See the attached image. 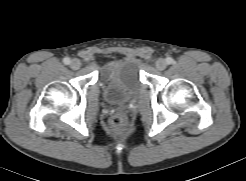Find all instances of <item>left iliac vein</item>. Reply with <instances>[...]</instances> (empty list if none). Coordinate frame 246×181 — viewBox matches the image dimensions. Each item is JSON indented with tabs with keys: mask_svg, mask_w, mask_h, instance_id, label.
<instances>
[{
	"mask_svg": "<svg viewBox=\"0 0 246 181\" xmlns=\"http://www.w3.org/2000/svg\"><path fill=\"white\" fill-rule=\"evenodd\" d=\"M155 66L158 70H164L167 67V62L164 59H158Z\"/></svg>",
	"mask_w": 246,
	"mask_h": 181,
	"instance_id": "left-iliac-vein-1",
	"label": "left iliac vein"
}]
</instances>
